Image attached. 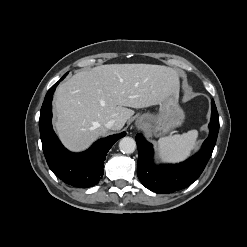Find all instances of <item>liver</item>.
Returning a JSON list of instances; mask_svg holds the SVG:
<instances>
[{
  "mask_svg": "<svg viewBox=\"0 0 247 247\" xmlns=\"http://www.w3.org/2000/svg\"><path fill=\"white\" fill-rule=\"evenodd\" d=\"M179 91L176 70L151 64H108L78 72L54 94L55 130L71 151L87 149L115 120L120 130L132 109L156 105Z\"/></svg>",
  "mask_w": 247,
  "mask_h": 247,
  "instance_id": "liver-1",
  "label": "liver"
}]
</instances>
